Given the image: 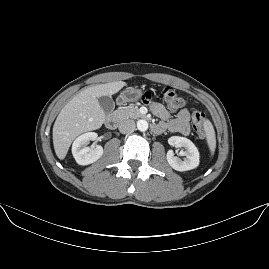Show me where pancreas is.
<instances>
[{"label":"pancreas","instance_id":"obj_1","mask_svg":"<svg viewBox=\"0 0 269 269\" xmlns=\"http://www.w3.org/2000/svg\"><path fill=\"white\" fill-rule=\"evenodd\" d=\"M113 115L120 121H123L128 118H137L141 117L143 114L139 111L137 107L127 106V107H118Z\"/></svg>","mask_w":269,"mask_h":269}]
</instances>
